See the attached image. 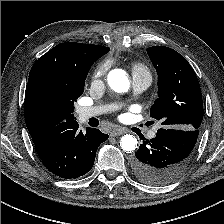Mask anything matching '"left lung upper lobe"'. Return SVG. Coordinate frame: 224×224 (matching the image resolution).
<instances>
[{"instance_id":"5c2ea615","label":"left lung upper lobe","mask_w":224,"mask_h":224,"mask_svg":"<svg viewBox=\"0 0 224 224\" xmlns=\"http://www.w3.org/2000/svg\"><path fill=\"white\" fill-rule=\"evenodd\" d=\"M147 52L158 74V99L150 116L161 120L163 128L199 130L203 101L193 68L169 47L153 46Z\"/></svg>"}]
</instances>
